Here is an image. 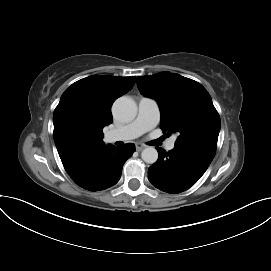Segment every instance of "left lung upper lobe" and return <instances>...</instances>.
Listing matches in <instances>:
<instances>
[{"mask_svg":"<svg viewBox=\"0 0 271 271\" xmlns=\"http://www.w3.org/2000/svg\"><path fill=\"white\" fill-rule=\"evenodd\" d=\"M140 92L155 99L161 110V128L178 133L175 144H190L216 151L220 117L207 90L176 73L137 77Z\"/></svg>","mask_w":271,"mask_h":271,"instance_id":"left-lung-upper-lobe-1","label":"left lung upper lobe"}]
</instances>
